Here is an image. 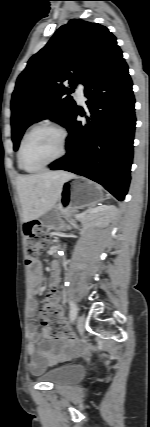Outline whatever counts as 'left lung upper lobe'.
Segmentation results:
<instances>
[{
	"instance_id": "5c2ea615",
	"label": "left lung upper lobe",
	"mask_w": 150,
	"mask_h": 427,
	"mask_svg": "<svg viewBox=\"0 0 150 427\" xmlns=\"http://www.w3.org/2000/svg\"><path fill=\"white\" fill-rule=\"evenodd\" d=\"M118 47L115 36L97 23L72 19L61 26L19 75L11 100L14 150L25 129L50 118L65 126L76 108L71 96ZM69 81L70 88L62 83Z\"/></svg>"
}]
</instances>
